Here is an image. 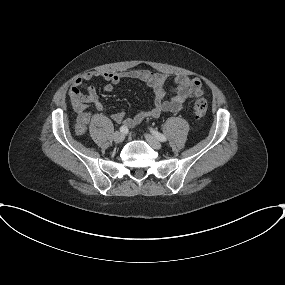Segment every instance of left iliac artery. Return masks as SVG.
I'll use <instances>...</instances> for the list:
<instances>
[{
	"mask_svg": "<svg viewBox=\"0 0 285 285\" xmlns=\"http://www.w3.org/2000/svg\"><path fill=\"white\" fill-rule=\"evenodd\" d=\"M151 132L161 142H165L167 140L166 137L163 134L159 133L158 131L151 129Z\"/></svg>",
	"mask_w": 285,
	"mask_h": 285,
	"instance_id": "obj_1",
	"label": "left iliac artery"
}]
</instances>
